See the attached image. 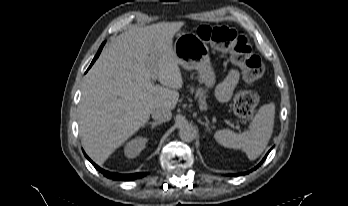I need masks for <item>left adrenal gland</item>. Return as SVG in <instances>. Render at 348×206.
Masks as SVG:
<instances>
[{
    "label": "left adrenal gland",
    "instance_id": "a2214340",
    "mask_svg": "<svg viewBox=\"0 0 348 206\" xmlns=\"http://www.w3.org/2000/svg\"><path fill=\"white\" fill-rule=\"evenodd\" d=\"M200 123L206 127V130H207V131L210 132V128H209V126H208L207 123H204V122H202V121H200Z\"/></svg>",
    "mask_w": 348,
    "mask_h": 206
}]
</instances>
